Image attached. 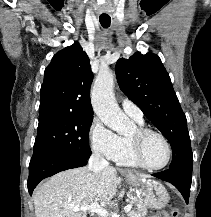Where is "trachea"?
<instances>
[{
    "instance_id": "obj_1",
    "label": "trachea",
    "mask_w": 211,
    "mask_h": 217,
    "mask_svg": "<svg viewBox=\"0 0 211 217\" xmlns=\"http://www.w3.org/2000/svg\"><path fill=\"white\" fill-rule=\"evenodd\" d=\"M100 24L103 28H108L111 23V19L109 16H104L99 18Z\"/></svg>"
}]
</instances>
